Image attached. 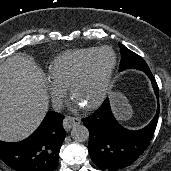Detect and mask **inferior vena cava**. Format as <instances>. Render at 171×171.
<instances>
[{"label": "inferior vena cava", "instance_id": "1", "mask_svg": "<svg viewBox=\"0 0 171 171\" xmlns=\"http://www.w3.org/2000/svg\"><path fill=\"white\" fill-rule=\"evenodd\" d=\"M53 108L55 111H61L63 108V102L61 99H55L53 100Z\"/></svg>", "mask_w": 171, "mask_h": 171}]
</instances>
